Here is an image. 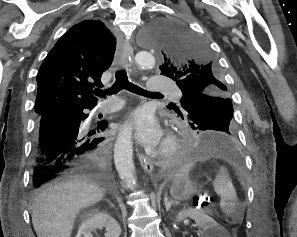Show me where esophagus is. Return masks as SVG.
Here are the masks:
<instances>
[{"mask_svg":"<svg viewBox=\"0 0 297 237\" xmlns=\"http://www.w3.org/2000/svg\"><path fill=\"white\" fill-rule=\"evenodd\" d=\"M133 48L130 44L129 41H126L122 50L121 58H120V63L123 67H129L132 63L133 60ZM140 163L142 168L147 172L151 173L153 170V163L152 161L148 158L145 157L143 154H140Z\"/></svg>","mask_w":297,"mask_h":237,"instance_id":"esophagus-1","label":"esophagus"}]
</instances>
